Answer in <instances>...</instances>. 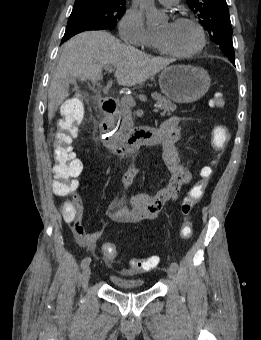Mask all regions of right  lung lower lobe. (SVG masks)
Listing matches in <instances>:
<instances>
[{
	"instance_id": "right-lung-lower-lobe-1",
	"label": "right lung lower lobe",
	"mask_w": 261,
	"mask_h": 340,
	"mask_svg": "<svg viewBox=\"0 0 261 340\" xmlns=\"http://www.w3.org/2000/svg\"><path fill=\"white\" fill-rule=\"evenodd\" d=\"M87 30H101L100 27L89 22L76 21L67 24L65 34L62 38L61 43L67 41L69 38L77 33L87 31Z\"/></svg>"
}]
</instances>
